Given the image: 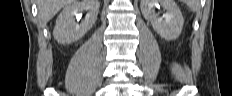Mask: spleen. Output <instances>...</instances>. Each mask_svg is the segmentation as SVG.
<instances>
[{
  "label": "spleen",
  "mask_w": 232,
  "mask_h": 96,
  "mask_svg": "<svg viewBox=\"0 0 232 96\" xmlns=\"http://www.w3.org/2000/svg\"><path fill=\"white\" fill-rule=\"evenodd\" d=\"M185 3L189 6V8L196 12L199 9V1L198 0H185Z\"/></svg>",
  "instance_id": "obj_1"
}]
</instances>
